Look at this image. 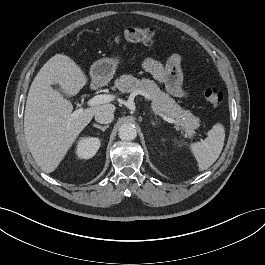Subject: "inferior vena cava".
Wrapping results in <instances>:
<instances>
[{
    "instance_id": "602c4592",
    "label": "inferior vena cava",
    "mask_w": 265,
    "mask_h": 265,
    "mask_svg": "<svg viewBox=\"0 0 265 265\" xmlns=\"http://www.w3.org/2000/svg\"><path fill=\"white\" fill-rule=\"evenodd\" d=\"M114 119V113L110 109H103L95 114V120L101 124L111 123Z\"/></svg>"
}]
</instances>
